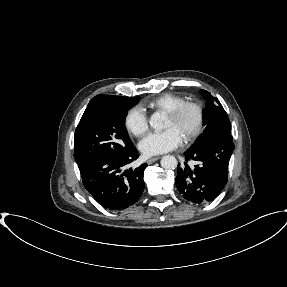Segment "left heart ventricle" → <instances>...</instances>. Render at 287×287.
Listing matches in <instances>:
<instances>
[{
    "mask_svg": "<svg viewBox=\"0 0 287 287\" xmlns=\"http://www.w3.org/2000/svg\"><path fill=\"white\" fill-rule=\"evenodd\" d=\"M195 120V113L191 110L185 112L178 120H173L170 117L166 116L164 128L174 127L180 132L183 138H185L188 132L194 126Z\"/></svg>",
    "mask_w": 287,
    "mask_h": 287,
    "instance_id": "1",
    "label": "left heart ventricle"
}]
</instances>
